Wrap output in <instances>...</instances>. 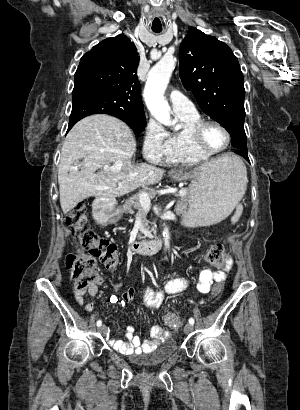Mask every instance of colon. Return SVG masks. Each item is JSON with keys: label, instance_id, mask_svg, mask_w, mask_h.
Returning <instances> with one entry per match:
<instances>
[{"label": "colon", "instance_id": "colon-1", "mask_svg": "<svg viewBox=\"0 0 300 410\" xmlns=\"http://www.w3.org/2000/svg\"><path fill=\"white\" fill-rule=\"evenodd\" d=\"M87 205L79 203L67 214L65 224L74 234H78L81 245L87 253L69 254L66 258L67 268L71 272V280L78 290H83L95 280L98 275L97 260L107 269H114L119 263L116 245L98 235L87 225ZM225 258L224 246L220 243L211 245L206 253L205 260L211 264H222ZM223 290L221 283L213 288V294ZM165 322L170 327H177L180 318L175 313H168Z\"/></svg>", "mask_w": 300, "mask_h": 410}]
</instances>
